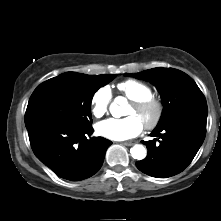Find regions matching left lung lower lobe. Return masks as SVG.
<instances>
[{
  "label": "left lung lower lobe",
  "instance_id": "0a47b994",
  "mask_svg": "<svg viewBox=\"0 0 221 221\" xmlns=\"http://www.w3.org/2000/svg\"><path fill=\"white\" fill-rule=\"evenodd\" d=\"M206 122L207 110H194L156 127L151 136L159 139L145 142L148 154L136 163L137 168L156 178H167L182 172L204 141Z\"/></svg>",
  "mask_w": 221,
  "mask_h": 221
}]
</instances>
